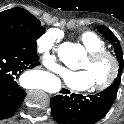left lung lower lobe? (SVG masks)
Returning <instances> with one entry per match:
<instances>
[{
    "label": "left lung lower lobe",
    "instance_id": "left-lung-lower-lobe-1",
    "mask_svg": "<svg viewBox=\"0 0 124 124\" xmlns=\"http://www.w3.org/2000/svg\"><path fill=\"white\" fill-rule=\"evenodd\" d=\"M117 91L116 87L109 86L97 94L83 96L62 89L60 95L50 100L52 116L58 124H95L108 113Z\"/></svg>",
    "mask_w": 124,
    "mask_h": 124
}]
</instances>
